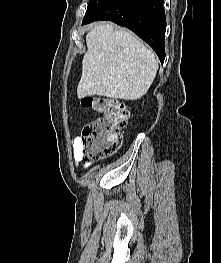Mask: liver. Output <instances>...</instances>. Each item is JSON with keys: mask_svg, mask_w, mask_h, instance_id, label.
I'll use <instances>...</instances> for the list:
<instances>
[{"mask_svg": "<svg viewBox=\"0 0 221 263\" xmlns=\"http://www.w3.org/2000/svg\"><path fill=\"white\" fill-rule=\"evenodd\" d=\"M87 52L77 87L79 99L98 95L137 100L152 85L158 62L152 50L125 29L96 24L86 35Z\"/></svg>", "mask_w": 221, "mask_h": 263, "instance_id": "6515ba94", "label": "liver"}]
</instances>
